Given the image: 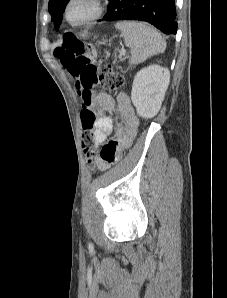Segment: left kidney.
I'll return each mask as SVG.
<instances>
[{"label": "left kidney", "mask_w": 227, "mask_h": 298, "mask_svg": "<svg viewBox=\"0 0 227 298\" xmlns=\"http://www.w3.org/2000/svg\"><path fill=\"white\" fill-rule=\"evenodd\" d=\"M169 83V70L159 65H150L136 74L131 100L140 117L148 119L157 115Z\"/></svg>", "instance_id": "obj_1"}]
</instances>
